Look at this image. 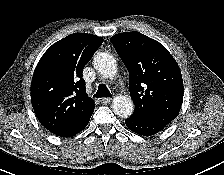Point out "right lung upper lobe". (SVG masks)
I'll return each mask as SVG.
<instances>
[{
	"instance_id": "right-lung-upper-lobe-1",
	"label": "right lung upper lobe",
	"mask_w": 224,
	"mask_h": 175,
	"mask_svg": "<svg viewBox=\"0 0 224 175\" xmlns=\"http://www.w3.org/2000/svg\"><path fill=\"white\" fill-rule=\"evenodd\" d=\"M101 37L75 33L53 44L41 57L31 82V102L40 123L55 133L90 116L94 101L82 79L84 66Z\"/></svg>"
}]
</instances>
